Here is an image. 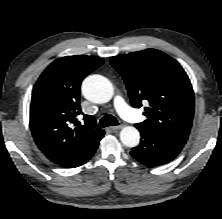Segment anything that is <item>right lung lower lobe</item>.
<instances>
[{
    "label": "right lung lower lobe",
    "instance_id": "98d812e1",
    "mask_svg": "<svg viewBox=\"0 0 222 219\" xmlns=\"http://www.w3.org/2000/svg\"><path fill=\"white\" fill-rule=\"evenodd\" d=\"M104 136V131L101 135V137L99 138V140L94 144V146L87 152V154L84 156V158L82 160H80L74 167H78L81 166L82 164L86 163L96 152V149L98 147V144L100 142V140L102 139V137Z\"/></svg>",
    "mask_w": 222,
    "mask_h": 219
}]
</instances>
